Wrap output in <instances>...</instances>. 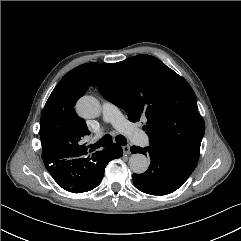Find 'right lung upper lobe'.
<instances>
[{
  "instance_id": "1",
  "label": "right lung upper lobe",
  "mask_w": 241,
  "mask_h": 241,
  "mask_svg": "<svg viewBox=\"0 0 241 241\" xmlns=\"http://www.w3.org/2000/svg\"><path fill=\"white\" fill-rule=\"evenodd\" d=\"M97 66L88 63L69 71L49 96L40 121L42 158L62 159L88 152L81 140L90 132L73 107L89 88Z\"/></svg>"
}]
</instances>
